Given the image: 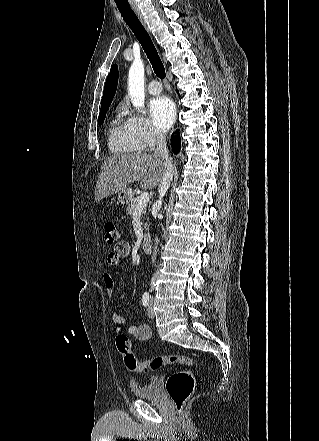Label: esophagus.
Here are the masks:
<instances>
[{"instance_id": "1", "label": "esophagus", "mask_w": 319, "mask_h": 441, "mask_svg": "<svg viewBox=\"0 0 319 441\" xmlns=\"http://www.w3.org/2000/svg\"><path fill=\"white\" fill-rule=\"evenodd\" d=\"M133 11L135 12V14L137 15V17L139 18V20L141 21V23L143 24L144 27H146V23L143 17V14L141 13V11L139 10V8L135 5L132 6Z\"/></svg>"}]
</instances>
